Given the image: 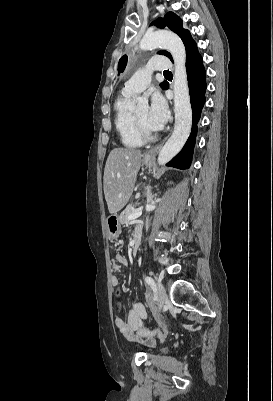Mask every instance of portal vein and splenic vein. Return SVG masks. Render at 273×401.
<instances>
[{"instance_id": "18ae733b", "label": "portal vein and splenic vein", "mask_w": 273, "mask_h": 401, "mask_svg": "<svg viewBox=\"0 0 273 401\" xmlns=\"http://www.w3.org/2000/svg\"><path fill=\"white\" fill-rule=\"evenodd\" d=\"M142 212H143V206L139 205L138 208L135 209V213L129 215L128 217L129 221H134V219H138V217H141Z\"/></svg>"}]
</instances>
